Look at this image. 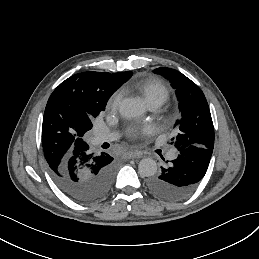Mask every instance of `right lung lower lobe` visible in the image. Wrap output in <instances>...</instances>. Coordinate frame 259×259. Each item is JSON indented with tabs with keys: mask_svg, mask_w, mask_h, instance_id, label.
I'll list each match as a JSON object with an SVG mask.
<instances>
[{
	"mask_svg": "<svg viewBox=\"0 0 259 259\" xmlns=\"http://www.w3.org/2000/svg\"><path fill=\"white\" fill-rule=\"evenodd\" d=\"M105 152L99 155L89 150V145L74 152L56 170L50 169L54 182L69 198L79 203H93L110 190L115 165Z\"/></svg>",
	"mask_w": 259,
	"mask_h": 259,
	"instance_id": "obj_1",
	"label": "right lung lower lobe"
}]
</instances>
